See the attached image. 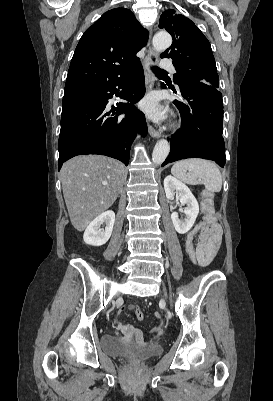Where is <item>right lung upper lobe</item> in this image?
<instances>
[{
	"label": "right lung upper lobe",
	"mask_w": 273,
	"mask_h": 401,
	"mask_svg": "<svg viewBox=\"0 0 273 401\" xmlns=\"http://www.w3.org/2000/svg\"><path fill=\"white\" fill-rule=\"evenodd\" d=\"M148 32L126 8L105 12L82 35L68 70L64 97L98 89L140 63L136 53L147 43Z\"/></svg>",
	"instance_id": "cb5924a9"
}]
</instances>
